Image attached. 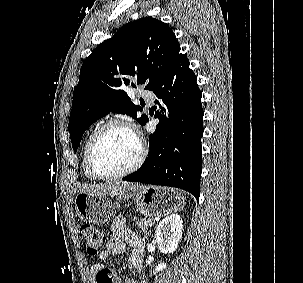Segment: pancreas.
<instances>
[{"label":"pancreas","instance_id":"obj_1","mask_svg":"<svg viewBox=\"0 0 303 283\" xmlns=\"http://www.w3.org/2000/svg\"><path fill=\"white\" fill-rule=\"evenodd\" d=\"M134 220H136L138 227L143 232H147L149 230V227L152 226L154 223L152 218H140V219L135 218Z\"/></svg>","mask_w":303,"mask_h":283}]
</instances>
